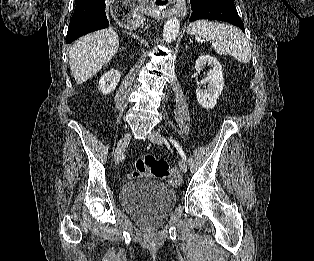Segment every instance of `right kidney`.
<instances>
[{"label":"right kidney","instance_id":"obj_1","mask_svg":"<svg viewBox=\"0 0 314 261\" xmlns=\"http://www.w3.org/2000/svg\"><path fill=\"white\" fill-rule=\"evenodd\" d=\"M120 72L115 69L109 70L107 73L102 75L99 81V90L103 94L111 93L120 81Z\"/></svg>","mask_w":314,"mask_h":261}]
</instances>
